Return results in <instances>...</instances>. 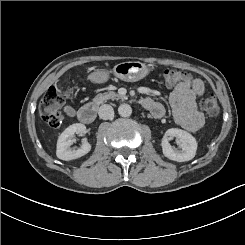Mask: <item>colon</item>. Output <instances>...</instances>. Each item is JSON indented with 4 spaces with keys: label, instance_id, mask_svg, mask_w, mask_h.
Returning a JSON list of instances; mask_svg holds the SVG:
<instances>
[{
    "label": "colon",
    "instance_id": "colon-1",
    "mask_svg": "<svg viewBox=\"0 0 245 245\" xmlns=\"http://www.w3.org/2000/svg\"><path fill=\"white\" fill-rule=\"evenodd\" d=\"M165 83L168 87H173L184 81L188 74L176 68H167L163 73ZM73 91L70 82L58 83L51 86L42 96L39 103V115L41 119L52 128L62 125L63 115L60 112L61 106ZM202 108L209 117H215L219 111V105L214 95L207 96L202 101Z\"/></svg>",
    "mask_w": 245,
    "mask_h": 245
}]
</instances>
